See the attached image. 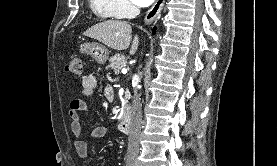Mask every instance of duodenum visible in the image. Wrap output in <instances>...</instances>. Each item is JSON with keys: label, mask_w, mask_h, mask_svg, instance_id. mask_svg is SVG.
<instances>
[{"label": "duodenum", "mask_w": 277, "mask_h": 166, "mask_svg": "<svg viewBox=\"0 0 277 166\" xmlns=\"http://www.w3.org/2000/svg\"><path fill=\"white\" fill-rule=\"evenodd\" d=\"M119 129L124 133H128L131 130V114L130 112L126 111L122 115L119 121Z\"/></svg>", "instance_id": "410a0bca"}]
</instances>
